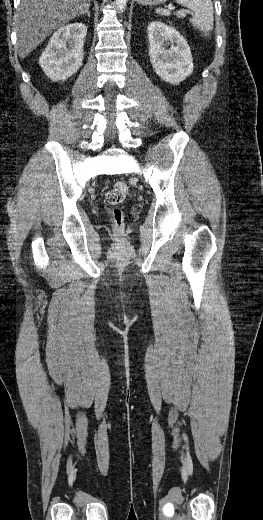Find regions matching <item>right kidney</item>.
Instances as JSON below:
<instances>
[{
    "instance_id": "ca27d5eb",
    "label": "right kidney",
    "mask_w": 263,
    "mask_h": 520,
    "mask_svg": "<svg viewBox=\"0 0 263 520\" xmlns=\"http://www.w3.org/2000/svg\"><path fill=\"white\" fill-rule=\"evenodd\" d=\"M87 26L72 23L58 29L42 53L39 64L53 81L66 80L82 65Z\"/></svg>"
}]
</instances>
